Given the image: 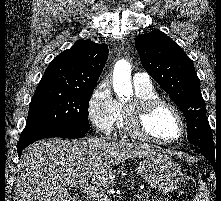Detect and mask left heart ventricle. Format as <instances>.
<instances>
[{"label": "left heart ventricle", "mask_w": 221, "mask_h": 201, "mask_svg": "<svg viewBox=\"0 0 221 201\" xmlns=\"http://www.w3.org/2000/svg\"><path fill=\"white\" fill-rule=\"evenodd\" d=\"M146 128L148 132L164 140L174 139L181 132L180 123L176 115L168 108L157 109L147 120Z\"/></svg>", "instance_id": "b2bd125f"}]
</instances>
